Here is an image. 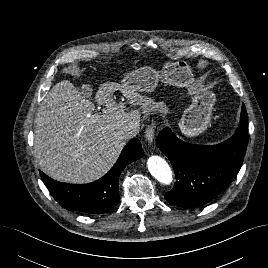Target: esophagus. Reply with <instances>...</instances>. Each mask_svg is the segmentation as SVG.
Segmentation results:
<instances>
[{
	"mask_svg": "<svg viewBox=\"0 0 268 268\" xmlns=\"http://www.w3.org/2000/svg\"><path fill=\"white\" fill-rule=\"evenodd\" d=\"M144 136H145L147 143L149 144L153 143L154 138H155V125L154 124L148 125L146 127Z\"/></svg>",
	"mask_w": 268,
	"mask_h": 268,
	"instance_id": "1",
	"label": "esophagus"
}]
</instances>
